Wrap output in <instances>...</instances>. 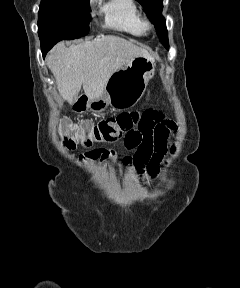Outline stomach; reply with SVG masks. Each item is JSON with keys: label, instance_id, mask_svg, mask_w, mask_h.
I'll return each instance as SVG.
<instances>
[{"label": "stomach", "instance_id": "0dacf381", "mask_svg": "<svg viewBox=\"0 0 240 288\" xmlns=\"http://www.w3.org/2000/svg\"><path fill=\"white\" fill-rule=\"evenodd\" d=\"M154 72V59L143 56L133 57L111 75L103 94L90 101L88 107L91 111L99 113L109 105L119 110L134 106L143 96Z\"/></svg>", "mask_w": 240, "mask_h": 288}]
</instances>
